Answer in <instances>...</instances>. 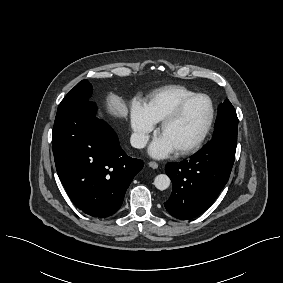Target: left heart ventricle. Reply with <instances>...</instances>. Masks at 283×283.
<instances>
[{
	"label": "left heart ventricle",
	"instance_id": "b2bd125f",
	"mask_svg": "<svg viewBox=\"0 0 283 283\" xmlns=\"http://www.w3.org/2000/svg\"><path fill=\"white\" fill-rule=\"evenodd\" d=\"M210 102L198 98L191 102L177 121L164 130L160 137L167 141L174 150L194 143L202 134L210 117Z\"/></svg>",
	"mask_w": 283,
	"mask_h": 283
}]
</instances>
